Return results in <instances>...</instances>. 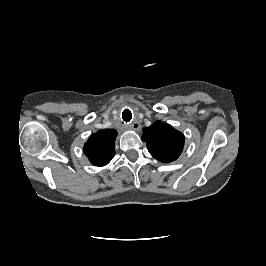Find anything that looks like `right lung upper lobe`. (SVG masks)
I'll return each instance as SVG.
<instances>
[{"mask_svg": "<svg viewBox=\"0 0 266 266\" xmlns=\"http://www.w3.org/2000/svg\"><path fill=\"white\" fill-rule=\"evenodd\" d=\"M116 130L103 129L92 134L84 144V153L95 166H105L115 155Z\"/></svg>", "mask_w": 266, "mask_h": 266, "instance_id": "1", "label": "right lung upper lobe"}]
</instances>
